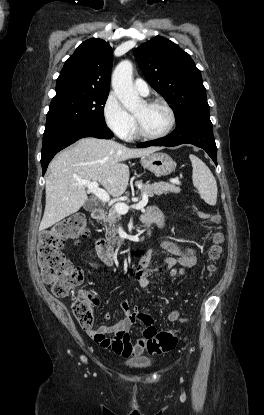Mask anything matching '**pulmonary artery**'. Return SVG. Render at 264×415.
Segmentation results:
<instances>
[{"instance_id":"obj_1","label":"pulmonary artery","mask_w":264,"mask_h":415,"mask_svg":"<svg viewBox=\"0 0 264 415\" xmlns=\"http://www.w3.org/2000/svg\"><path fill=\"white\" fill-rule=\"evenodd\" d=\"M134 88L136 89V91L139 94H141L143 96H147L149 94V86H148V84L144 80H142L140 78L135 79V81H134Z\"/></svg>"}]
</instances>
